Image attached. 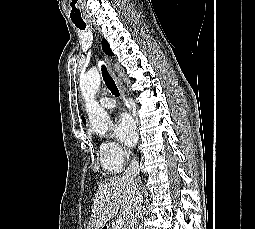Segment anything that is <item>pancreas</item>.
Instances as JSON below:
<instances>
[{
    "label": "pancreas",
    "instance_id": "obj_1",
    "mask_svg": "<svg viewBox=\"0 0 255 229\" xmlns=\"http://www.w3.org/2000/svg\"><path fill=\"white\" fill-rule=\"evenodd\" d=\"M111 229H119V228H117L116 226H112V228ZM120 229H124L123 227H121Z\"/></svg>",
    "mask_w": 255,
    "mask_h": 229
}]
</instances>
